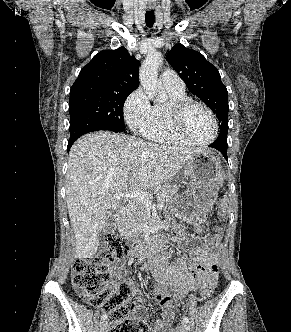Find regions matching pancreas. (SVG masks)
I'll use <instances>...</instances> for the list:
<instances>
[{"mask_svg":"<svg viewBox=\"0 0 291 332\" xmlns=\"http://www.w3.org/2000/svg\"><path fill=\"white\" fill-rule=\"evenodd\" d=\"M180 185H164L156 189L158 203L168 204L173 196L178 192ZM146 219V206L144 203L135 201L128 206L119 223L120 232H129L132 230H141Z\"/></svg>","mask_w":291,"mask_h":332,"instance_id":"obj_1","label":"pancreas"}]
</instances>
